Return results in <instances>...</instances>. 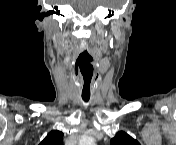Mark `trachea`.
<instances>
[{
    "instance_id": "3493384b",
    "label": "trachea",
    "mask_w": 176,
    "mask_h": 145,
    "mask_svg": "<svg viewBox=\"0 0 176 145\" xmlns=\"http://www.w3.org/2000/svg\"><path fill=\"white\" fill-rule=\"evenodd\" d=\"M82 99H83L84 101H89L90 95H82Z\"/></svg>"
}]
</instances>
